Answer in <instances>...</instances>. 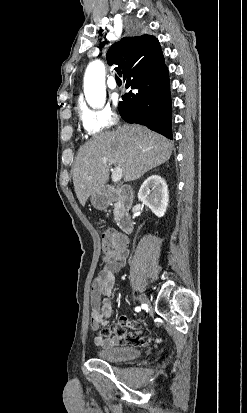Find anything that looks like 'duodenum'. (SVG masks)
<instances>
[{
    "mask_svg": "<svg viewBox=\"0 0 247 413\" xmlns=\"http://www.w3.org/2000/svg\"><path fill=\"white\" fill-rule=\"evenodd\" d=\"M107 197L109 201L115 203L116 220L119 228L124 233L133 231V220L129 215V210L133 204V191L128 186H108Z\"/></svg>",
    "mask_w": 247,
    "mask_h": 413,
    "instance_id": "obj_1",
    "label": "duodenum"
}]
</instances>
